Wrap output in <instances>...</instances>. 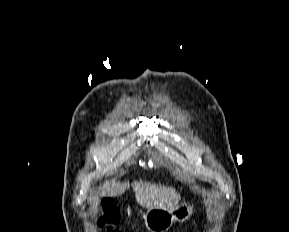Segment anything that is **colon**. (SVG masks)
Masks as SVG:
<instances>
[{"instance_id":"obj_1","label":"colon","mask_w":289,"mask_h":232,"mask_svg":"<svg viewBox=\"0 0 289 232\" xmlns=\"http://www.w3.org/2000/svg\"><path fill=\"white\" fill-rule=\"evenodd\" d=\"M120 221V213L113 200L104 198L101 201L100 214L97 219V225L104 232H120L116 227Z\"/></svg>"}]
</instances>
